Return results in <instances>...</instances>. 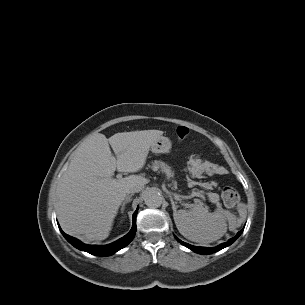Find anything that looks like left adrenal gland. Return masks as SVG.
Returning <instances> with one entry per match:
<instances>
[{
    "label": "left adrenal gland",
    "mask_w": 305,
    "mask_h": 305,
    "mask_svg": "<svg viewBox=\"0 0 305 305\" xmlns=\"http://www.w3.org/2000/svg\"><path fill=\"white\" fill-rule=\"evenodd\" d=\"M172 205H173V208H175V204H174V202H172Z\"/></svg>",
    "instance_id": "left-adrenal-gland-1"
}]
</instances>
